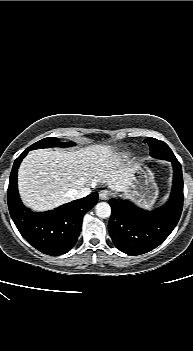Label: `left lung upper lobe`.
<instances>
[{
    "label": "left lung upper lobe",
    "mask_w": 193,
    "mask_h": 351,
    "mask_svg": "<svg viewBox=\"0 0 193 351\" xmlns=\"http://www.w3.org/2000/svg\"><path fill=\"white\" fill-rule=\"evenodd\" d=\"M144 143H148L150 155L154 158L169 160L175 157L169 146L163 141L148 137L144 140Z\"/></svg>",
    "instance_id": "obj_1"
}]
</instances>
